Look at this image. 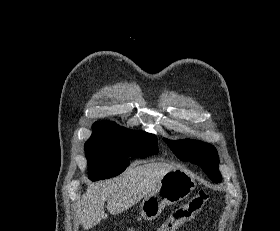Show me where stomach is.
Here are the masks:
<instances>
[{"label": "stomach", "instance_id": "stomach-1", "mask_svg": "<svg viewBox=\"0 0 280 231\" xmlns=\"http://www.w3.org/2000/svg\"><path fill=\"white\" fill-rule=\"evenodd\" d=\"M197 183L191 171L185 167H174L163 175L153 191H150L140 203V215L144 219H155L165 205L177 203L188 197Z\"/></svg>", "mask_w": 280, "mask_h": 231}]
</instances>
